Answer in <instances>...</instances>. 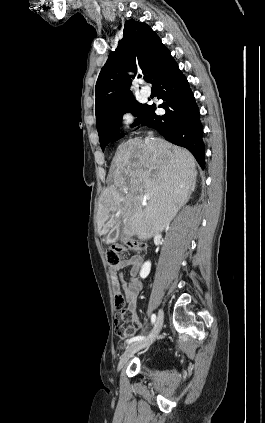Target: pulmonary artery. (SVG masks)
Wrapping results in <instances>:
<instances>
[{"label":"pulmonary artery","mask_w":265,"mask_h":423,"mask_svg":"<svg viewBox=\"0 0 265 423\" xmlns=\"http://www.w3.org/2000/svg\"><path fill=\"white\" fill-rule=\"evenodd\" d=\"M141 93H142L144 96L149 97V96L151 95V89H150L149 87H147V86H143V87L141 88Z\"/></svg>","instance_id":"e3ab8cb5"}]
</instances>
